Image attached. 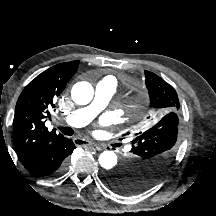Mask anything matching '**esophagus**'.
Returning <instances> with one entry per match:
<instances>
[{"label": "esophagus", "instance_id": "obj_1", "mask_svg": "<svg viewBox=\"0 0 216 216\" xmlns=\"http://www.w3.org/2000/svg\"><path fill=\"white\" fill-rule=\"evenodd\" d=\"M73 141L78 146H95L96 149L99 151L103 149V146L97 145L96 143L88 141V140H84V139H80V138H74Z\"/></svg>", "mask_w": 216, "mask_h": 216}]
</instances>
